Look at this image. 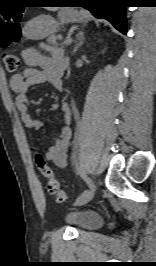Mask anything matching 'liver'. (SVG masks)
I'll return each instance as SVG.
<instances>
[{"mask_svg": "<svg viewBox=\"0 0 156 266\" xmlns=\"http://www.w3.org/2000/svg\"><path fill=\"white\" fill-rule=\"evenodd\" d=\"M49 11H56L57 8L56 7H51V8H48Z\"/></svg>", "mask_w": 156, "mask_h": 266, "instance_id": "6515ba94", "label": "liver"}]
</instances>
